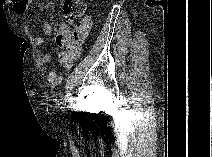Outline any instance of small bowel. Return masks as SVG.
Listing matches in <instances>:
<instances>
[{
	"mask_svg": "<svg viewBox=\"0 0 212 157\" xmlns=\"http://www.w3.org/2000/svg\"><path fill=\"white\" fill-rule=\"evenodd\" d=\"M12 6L15 14L23 15L24 13H26L29 7V1L12 0ZM90 28L91 20L89 18L84 19L83 26L80 29V36L76 40H70L68 43L63 45L58 41V36L62 33L67 32L68 28L63 24L58 28L56 32V43L58 46L61 47V50L58 54V60L62 68L67 70L70 69L73 66L75 60L78 59L82 51L83 41L87 37ZM42 30L45 35L48 36L52 33V26L48 22H44L42 24ZM34 42L36 46H42L46 42V38L39 36L35 38ZM51 60L52 58L50 54L44 53L40 56V63L43 66L49 65L51 63ZM47 81L49 85L56 87L61 82V76L52 69L48 72Z\"/></svg>",
	"mask_w": 212,
	"mask_h": 157,
	"instance_id": "1",
	"label": "small bowel"
}]
</instances>
